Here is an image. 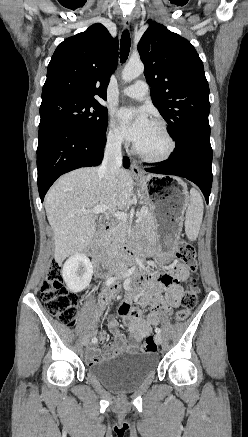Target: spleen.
<instances>
[{
    "mask_svg": "<svg viewBox=\"0 0 248 437\" xmlns=\"http://www.w3.org/2000/svg\"><path fill=\"white\" fill-rule=\"evenodd\" d=\"M203 200L196 189L190 191V202L186 209L185 232L189 240H196L203 218Z\"/></svg>",
    "mask_w": 248,
    "mask_h": 437,
    "instance_id": "obj_1",
    "label": "spleen"
}]
</instances>
